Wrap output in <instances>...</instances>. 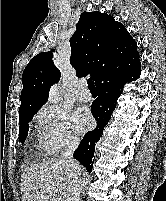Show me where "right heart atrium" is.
Here are the masks:
<instances>
[{"mask_svg":"<svg viewBox=\"0 0 166 201\" xmlns=\"http://www.w3.org/2000/svg\"><path fill=\"white\" fill-rule=\"evenodd\" d=\"M39 142L43 150L54 155L76 146L79 139L71 125L68 112L55 104H45L36 114Z\"/></svg>","mask_w":166,"mask_h":201,"instance_id":"1","label":"right heart atrium"}]
</instances>
